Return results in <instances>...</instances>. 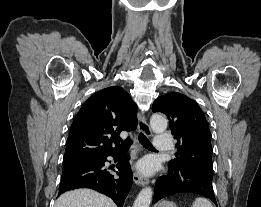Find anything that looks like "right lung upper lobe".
Masks as SVG:
<instances>
[{"label":"right lung upper lobe","instance_id":"obj_1","mask_svg":"<svg viewBox=\"0 0 261 207\" xmlns=\"http://www.w3.org/2000/svg\"><path fill=\"white\" fill-rule=\"evenodd\" d=\"M137 105L117 86L93 94L77 113L71 125L63 161L118 152L122 131L137 128Z\"/></svg>","mask_w":261,"mask_h":207}]
</instances>
